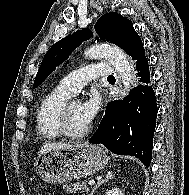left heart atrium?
Masks as SVG:
<instances>
[{"mask_svg": "<svg viewBox=\"0 0 189 195\" xmlns=\"http://www.w3.org/2000/svg\"><path fill=\"white\" fill-rule=\"evenodd\" d=\"M101 104V98L96 92H93L89 99L81 104L83 115L89 124L98 114Z\"/></svg>", "mask_w": 189, "mask_h": 195, "instance_id": "39dd6f15", "label": "left heart atrium"}]
</instances>
